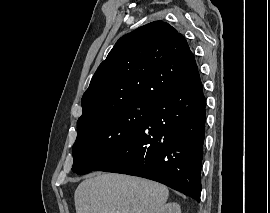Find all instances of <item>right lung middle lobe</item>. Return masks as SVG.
Listing matches in <instances>:
<instances>
[{
  "instance_id": "obj_1",
  "label": "right lung middle lobe",
  "mask_w": 270,
  "mask_h": 213,
  "mask_svg": "<svg viewBox=\"0 0 270 213\" xmlns=\"http://www.w3.org/2000/svg\"><path fill=\"white\" fill-rule=\"evenodd\" d=\"M154 105L135 101L77 123L73 172L87 174L109 159L140 129Z\"/></svg>"
}]
</instances>
